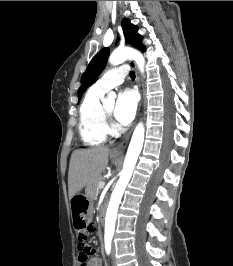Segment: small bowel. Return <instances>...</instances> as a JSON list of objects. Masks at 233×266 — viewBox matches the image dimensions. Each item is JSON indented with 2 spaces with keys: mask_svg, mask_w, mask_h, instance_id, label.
Instances as JSON below:
<instances>
[{
  "mask_svg": "<svg viewBox=\"0 0 233 266\" xmlns=\"http://www.w3.org/2000/svg\"><path fill=\"white\" fill-rule=\"evenodd\" d=\"M85 266H102V260L99 257H93L87 260Z\"/></svg>",
  "mask_w": 233,
  "mask_h": 266,
  "instance_id": "obj_1",
  "label": "small bowel"
}]
</instances>
